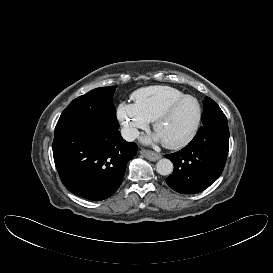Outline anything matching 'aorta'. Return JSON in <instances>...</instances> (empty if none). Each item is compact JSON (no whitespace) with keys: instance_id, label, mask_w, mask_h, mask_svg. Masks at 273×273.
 Segmentation results:
<instances>
[{"instance_id":"aorta-1","label":"aorta","mask_w":273,"mask_h":273,"mask_svg":"<svg viewBox=\"0 0 273 273\" xmlns=\"http://www.w3.org/2000/svg\"><path fill=\"white\" fill-rule=\"evenodd\" d=\"M156 170L160 175H170L173 171V163L166 158L160 159L156 164Z\"/></svg>"}]
</instances>
